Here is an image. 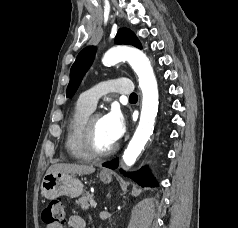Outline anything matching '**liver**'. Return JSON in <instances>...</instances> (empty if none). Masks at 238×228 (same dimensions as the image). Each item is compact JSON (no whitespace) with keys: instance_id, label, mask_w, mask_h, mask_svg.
<instances>
[{"instance_id":"1","label":"liver","mask_w":238,"mask_h":228,"mask_svg":"<svg viewBox=\"0 0 238 228\" xmlns=\"http://www.w3.org/2000/svg\"><path fill=\"white\" fill-rule=\"evenodd\" d=\"M62 172L67 174H78V175H87L95 171V168L91 165H79V164H69V163H59L54 164L49 167L47 172Z\"/></svg>"}]
</instances>
